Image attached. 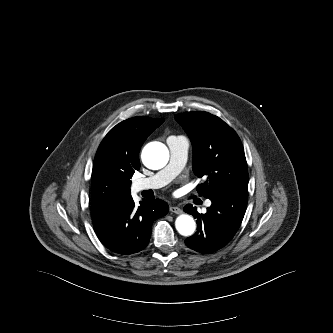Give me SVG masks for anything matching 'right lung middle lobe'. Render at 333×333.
Wrapping results in <instances>:
<instances>
[{
    "label": "right lung middle lobe",
    "instance_id": "right-lung-middle-lobe-1",
    "mask_svg": "<svg viewBox=\"0 0 333 333\" xmlns=\"http://www.w3.org/2000/svg\"><path fill=\"white\" fill-rule=\"evenodd\" d=\"M109 205H113V204H109ZM103 206H107V205H103L100 201H92V207H103Z\"/></svg>",
    "mask_w": 333,
    "mask_h": 333
}]
</instances>
